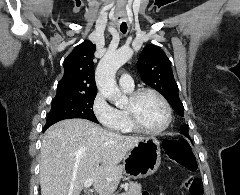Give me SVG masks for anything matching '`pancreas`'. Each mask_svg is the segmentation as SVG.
<instances>
[{"label": "pancreas", "instance_id": "cf45deb5", "mask_svg": "<svg viewBox=\"0 0 240 195\" xmlns=\"http://www.w3.org/2000/svg\"><path fill=\"white\" fill-rule=\"evenodd\" d=\"M141 189V183L129 181V183H127V191H123V193H119V195H141Z\"/></svg>", "mask_w": 240, "mask_h": 195}]
</instances>
